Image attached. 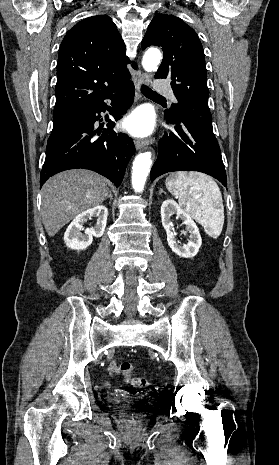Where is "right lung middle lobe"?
I'll use <instances>...</instances> for the list:
<instances>
[{
    "label": "right lung middle lobe",
    "mask_w": 279,
    "mask_h": 465,
    "mask_svg": "<svg viewBox=\"0 0 279 465\" xmlns=\"http://www.w3.org/2000/svg\"><path fill=\"white\" fill-rule=\"evenodd\" d=\"M72 125H73V120L69 121V122H66V123H63V124L54 125L53 130L51 132V135H50V137L48 139L47 148L52 146L58 140V138L66 130H68Z\"/></svg>",
    "instance_id": "dd1d6c3e"
}]
</instances>
